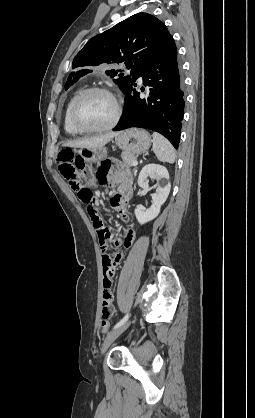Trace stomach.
I'll list each match as a JSON object with an SVG mask.
<instances>
[{
    "mask_svg": "<svg viewBox=\"0 0 255 418\" xmlns=\"http://www.w3.org/2000/svg\"><path fill=\"white\" fill-rule=\"evenodd\" d=\"M116 145L123 152L131 155H139L146 152L151 146V136L143 129H129L119 132L115 137ZM81 156L88 162H100L107 156L106 148H93L79 150Z\"/></svg>",
    "mask_w": 255,
    "mask_h": 418,
    "instance_id": "0dacf381",
    "label": "stomach"
}]
</instances>
